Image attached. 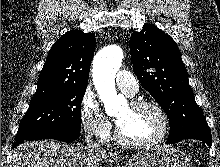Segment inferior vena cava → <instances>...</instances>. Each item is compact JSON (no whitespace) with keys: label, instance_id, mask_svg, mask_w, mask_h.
I'll return each instance as SVG.
<instances>
[{"label":"inferior vena cava","instance_id":"602c4592","mask_svg":"<svg viewBox=\"0 0 220 167\" xmlns=\"http://www.w3.org/2000/svg\"><path fill=\"white\" fill-rule=\"evenodd\" d=\"M92 132L87 131L85 136L86 148L92 151H101L100 145L92 140Z\"/></svg>","mask_w":220,"mask_h":167}]
</instances>
